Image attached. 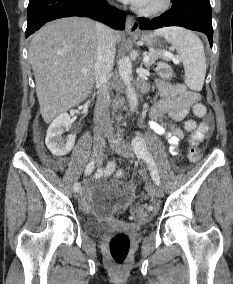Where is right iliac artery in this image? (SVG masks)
Here are the masks:
<instances>
[{
    "label": "right iliac artery",
    "mask_w": 233,
    "mask_h": 284,
    "mask_svg": "<svg viewBox=\"0 0 233 284\" xmlns=\"http://www.w3.org/2000/svg\"><path fill=\"white\" fill-rule=\"evenodd\" d=\"M94 168H95V163L93 160H91L85 168V172H84L85 175L87 176L89 175L90 172H93ZM80 188H81L80 183H75L73 186L74 192H78Z\"/></svg>",
    "instance_id": "obj_1"
}]
</instances>
